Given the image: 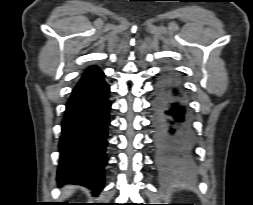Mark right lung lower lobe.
I'll use <instances>...</instances> for the list:
<instances>
[{"instance_id":"98d812e1","label":"right lung lower lobe","mask_w":253,"mask_h":205,"mask_svg":"<svg viewBox=\"0 0 253 205\" xmlns=\"http://www.w3.org/2000/svg\"><path fill=\"white\" fill-rule=\"evenodd\" d=\"M109 91L104 73L88 67L72 91L62 121L57 181L86 186L94 196L104 185Z\"/></svg>"}]
</instances>
